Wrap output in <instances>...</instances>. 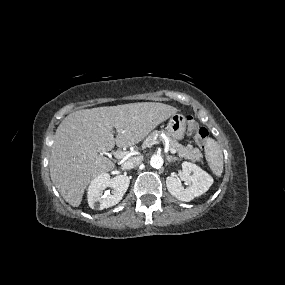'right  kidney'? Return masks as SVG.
<instances>
[{
  "label": "right kidney",
  "mask_w": 285,
  "mask_h": 285,
  "mask_svg": "<svg viewBox=\"0 0 285 285\" xmlns=\"http://www.w3.org/2000/svg\"><path fill=\"white\" fill-rule=\"evenodd\" d=\"M129 178L125 175H116L111 178L108 173L95 177L88 188V204L92 209L103 210L118 204L129 186ZM107 187L113 188L112 193L105 192Z\"/></svg>",
  "instance_id": "ca27d5eb"
}]
</instances>
